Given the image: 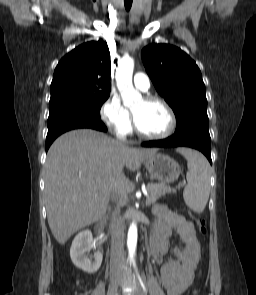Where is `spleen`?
Masks as SVG:
<instances>
[{
  "label": "spleen",
  "instance_id": "3e777b00",
  "mask_svg": "<svg viewBox=\"0 0 256 295\" xmlns=\"http://www.w3.org/2000/svg\"><path fill=\"white\" fill-rule=\"evenodd\" d=\"M187 160V186L183 191L186 205L194 212L204 211L210 193V165L198 151L189 148L178 149Z\"/></svg>",
  "mask_w": 256,
  "mask_h": 295
}]
</instances>
